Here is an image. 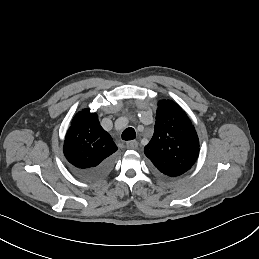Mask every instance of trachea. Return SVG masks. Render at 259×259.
Here are the masks:
<instances>
[{
    "instance_id": "trachea-1",
    "label": "trachea",
    "mask_w": 259,
    "mask_h": 259,
    "mask_svg": "<svg viewBox=\"0 0 259 259\" xmlns=\"http://www.w3.org/2000/svg\"><path fill=\"white\" fill-rule=\"evenodd\" d=\"M136 138V133H135V130L131 127L125 129L122 133V139L123 140H133Z\"/></svg>"
}]
</instances>
